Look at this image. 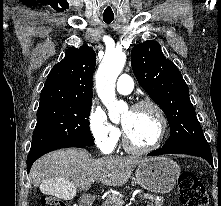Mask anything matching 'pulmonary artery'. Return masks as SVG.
<instances>
[{
  "instance_id": "e3ab8cb5",
  "label": "pulmonary artery",
  "mask_w": 221,
  "mask_h": 206,
  "mask_svg": "<svg viewBox=\"0 0 221 206\" xmlns=\"http://www.w3.org/2000/svg\"><path fill=\"white\" fill-rule=\"evenodd\" d=\"M117 92L123 95L131 93L133 89V79L127 74H121L116 85Z\"/></svg>"
}]
</instances>
